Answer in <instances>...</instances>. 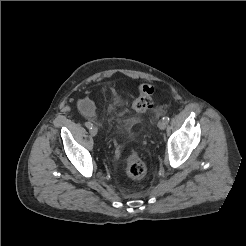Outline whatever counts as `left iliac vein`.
<instances>
[{"instance_id":"4c4485c4","label":"left iliac vein","mask_w":246,"mask_h":246,"mask_svg":"<svg viewBox=\"0 0 246 246\" xmlns=\"http://www.w3.org/2000/svg\"><path fill=\"white\" fill-rule=\"evenodd\" d=\"M158 128L160 129V130H164L165 128H166V124H165V122L164 121H159L158 122Z\"/></svg>"}]
</instances>
